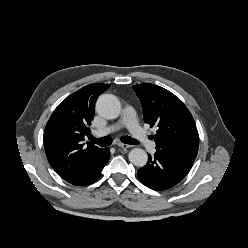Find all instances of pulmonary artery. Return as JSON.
<instances>
[{"label": "pulmonary artery", "instance_id": "1", "mask_svg": "<svg viewBox=\"0 0 248 248\" xmlns=\"http://www.w3.org/2000/svg\"><path fill=\"white\" fill-rule=\"evenodd\" d=\"M123 126L128 128L134 139L137 140L149 153H155V143L147 137L143 128L138 124L136 120V112L134 108L129 105L124 108L122 118L118 122L96 130L95 134L97 136H105L118 131Z\"/></svg>", "mask_w": 248, "mask_h": 248}]
</instances>
